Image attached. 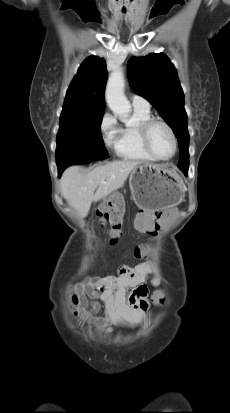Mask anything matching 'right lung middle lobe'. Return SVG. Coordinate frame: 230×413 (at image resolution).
Listing matches in <instances>:
<instances>
[{
    "mask_svg": "<svg viewBox=\"0 0 230 413\" xmlns=\"http://www.w3.org/2000/svg\"><path fill=\"white\" fill-rule=\"evenodd\" d=\"M102 118L60 121L56 150L58 167L65 169L71 164L108 158L100 132Z\"/></svg>",
    "mask_w": 230,
    "mask_h": 413,
    "instance_id": "obj_1",
    "label": "right lung middle lobe"
}]
</instances>
